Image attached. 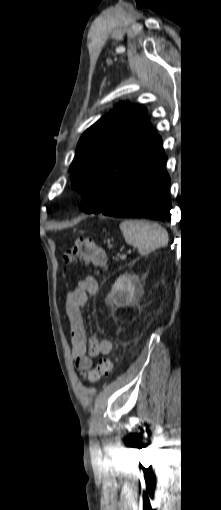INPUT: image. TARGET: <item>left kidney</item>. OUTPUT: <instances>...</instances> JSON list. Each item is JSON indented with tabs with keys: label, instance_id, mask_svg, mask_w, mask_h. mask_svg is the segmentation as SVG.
Wrapping results in <instances>:
<instances>
[{
	"label": "left kidney",
	"instance_id": "5707ae66",
	"mask_svg": "<svg viewBox=\"0 0 221 510\" xmlns=\"http://www.w3.org/2000/svg\"><path fill=\"white\" fill-rule=\"evenodd\" d=\"M140 281L135 275H122L114 283L108 301L118 307L127 306L139 291Z\"/></svg>",
	"mask_w": 221,
	"mask_h": 510
}]
</instances>
